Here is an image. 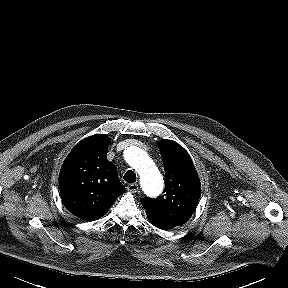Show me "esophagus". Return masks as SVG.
<instances>
[{"instance_id":"1","label":"esophagus","mask_w":288,"mask_h":288,"mask_svg":"<svg viewBox=\"0 0 288 288\" xmlns=\"http://www.w3.org/2000/svg\"><path fill=\"white\" fill-rule=\"evenodd\" d=\"M127 190L131 193H135L139 190V186L136 183H132L127 186Z\"/></svg>"}]
</instances>
